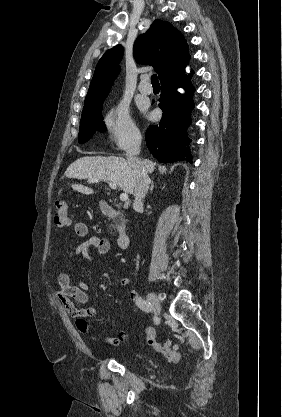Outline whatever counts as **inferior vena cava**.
Masks as SVG:
<instances>
[{"mask_svg": "<svg viewBox=\"0 0 282 417\" xmlns=\"http://www.w3.org/2000/svg\"><path fill=\"white\" fill-rule=\"evenodd\" d=\"M141 142V132H139V130H132V132H130L129 142L126 144L125 148L128 160H130V162H135L136 164V186L133 192L135 198L133 206L135 211H137V209H142V200L146 196L148 184L150 182L145 164L137 158V154H140Z\"/></svg>", "mask_w": 282, "mask_h": 417, "instance_id": "1", "label": "inferior vena cava"}]
</instances>
